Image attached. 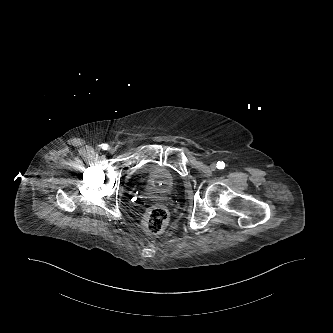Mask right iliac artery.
Wrapping results in <instances>:
<instances>
[{"mask_svg":"<svg viewBox=\"0 0 333 333\" xmlns=\"http://www.w3.org/2000/svg\"><path fill=\"white\" fill-rule=\"evenodd\" d=\"M108 147H109L108 144H102V145H101V148H102L103 150H107Z\"/></svg>","mask_w":333,"mask_h":333,"instance_id":"obj_1","label":"right iliac artery"}]
</instances>
